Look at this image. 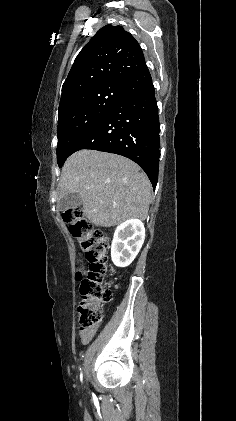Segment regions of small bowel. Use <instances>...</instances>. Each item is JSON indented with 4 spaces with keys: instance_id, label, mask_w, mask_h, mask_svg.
I'll return each mask as SVG.
<instances>
[{
    "instance_id": "small-bowel-1",
    "label": "small bowel",
    "mask_w": 236,
    "mask_h": 421,
    "mask_svg": "<svg viewBox=\"0 0 236 421\" xmlns=\"http://www.w3.org/2000/svg\"><path fill=\"white\" fill-rule=\"evenodd\" d=\"M95 331H96V329H94L92 331H89V332H86V333H80V338H81L82 342L88 343L92 339V337L94 336Z\"/></svg>"
}]
</instances>
